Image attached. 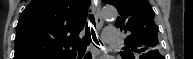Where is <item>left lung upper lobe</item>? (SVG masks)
Listing matches in <instances>:
<instances>
[{
    "mask_svg": "<svg viewBox=\"0 0 193 59\" xmlns=\"http://www.w3.org/2000/svg\"><path fill=\"white\" fill-rule=\"evenodd\" d=\"M115 6L120 14L115 26L130 35L124 41L125 51L121 55L132 58L136 54L157 50L158 27L154 22V11L148 0H102Z\"/></svg>",
    "mask_w": 193,
    "mask_h": 59,
    "instance_id": "obj_1",
    "label": "left lung upper lobe"
}]
</instances>
